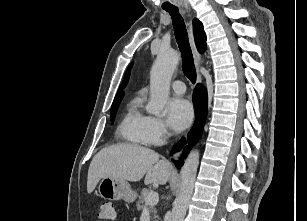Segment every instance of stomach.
I'll list each match as a JSON object with an SVG mask.
<instances>
[{
  "mask_svg": "<svg viewBox=\"0 0 307 221\" xmlns=\"http://www.w3.org/2000/svg\"><path fill=\"white\" fill-rule=\"evenodd\" d=\"M98 192L105 199H123L126 202H133L137 196L127 181L111 177L101 179L98 185Z\"/></svg>",
  "mask_w": 307,
  "mask_h": 221,
  "instance_id": "obj_1",
  "label": "stomach"
}]
</instances>
